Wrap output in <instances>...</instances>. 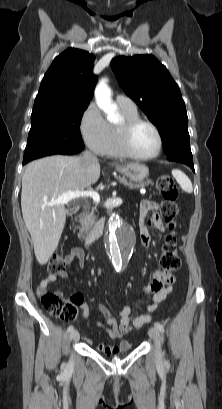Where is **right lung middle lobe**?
Here are the masks:
<instances>
[{
	"label": "right lung middle lobe",
	"instance_id": "right-lung-middle-lobe-1",
	"mask_svg": "<svg viewBox=\"0 0 222 409\" xmlns=\"http://www.w3.org/2000/svg\"><path fill=\"white\" fill-rule=\"evenodd\" d=\"M87 107L88 104H60L33 109L23 162L77 153L84 146L79 125Z\"/></svg>",
	"mask_w": 222,
	"mask_h": 409
}]
</instances>
